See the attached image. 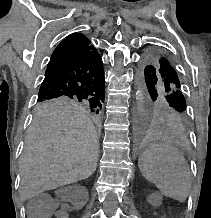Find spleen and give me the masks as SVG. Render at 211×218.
<instances>
[{
	"label": "spleen",
	"mask_w": 211,
	"mask_h": 218,
	"mask_svg": "<svg viewBox=\"0 0 211 218\" xmlns=\"http://www.w3.org/2000/svg\"><path fill=\"white\" fill-rule=\"evenodd\" d=\"M145 180L152 182L163 196L185 202L191 190V172L183 156L174 150L148 148L138 160Z\"/></svg>",
	"instance_id": "obj_1"
}]
</instances>
